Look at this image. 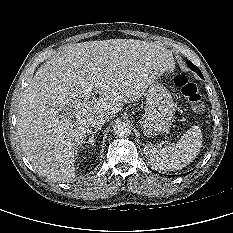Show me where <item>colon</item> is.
<instances>
[{
    "instance_id": "obj_1",
    "label": "colon",
    "mask_w": 233,
    "mask_h": 233,
    "mask_svg": "<svg viewBox=\"0 0 233 233\" xmlns=\"http://www.w3.org/2000/svg\"><path fill=\"white\" fill-rule=\"evenodd\" d=\"M174 83L179 87L182 96L194 111L200 112L204 109V102L199 87L191 82L185 74H176Z\"/></svg>"
}]
</instances>
